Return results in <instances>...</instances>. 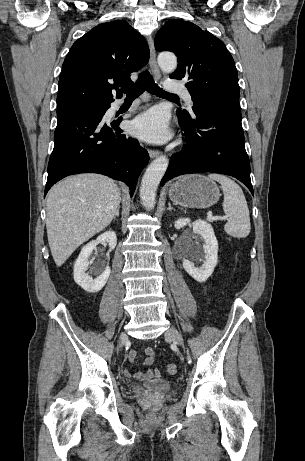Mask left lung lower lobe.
I'll return each instance as SVG.
<instances>
[{"label":"left lung lower lobe","mask_w":305,"mask_h":461,"mask_svg":"<svg viewBox=\"0 0 305 461\" xmlns=\"http://www.w3.org/2000/svg\"><path fill=\"white\" fill-rule=\"evenodd\" d=\"M192 110L193 117L177 113L186 145L172 155L161 185L182 174L214 172L236 177L253 194L239 98L213 99Z\"/></svg>","instance_id":"left-lung-lower-lobe-1"}]
</instances>
